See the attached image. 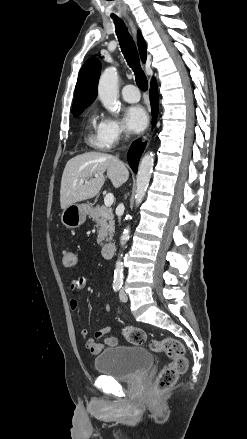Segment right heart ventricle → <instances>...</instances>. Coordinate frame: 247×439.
Returning <instances> with one entry per match:
<instances>
[{"instance_id":"right-heart-ventricle-1","label":"right heart ventricle","mask_w":247,"mask_h":439,"mask_svg":"<svg viewBox=\"0 0 247 439\" xmlns=\"http://www.w3.org/2000/svg\"><path fill=\"white\" fill-rule=\"evenodd\" d=\"M102 121H98L95 114L89 116L86 123L85 142L94 149L109 148L101 133Z\"/></svg>"}]
</instances>
